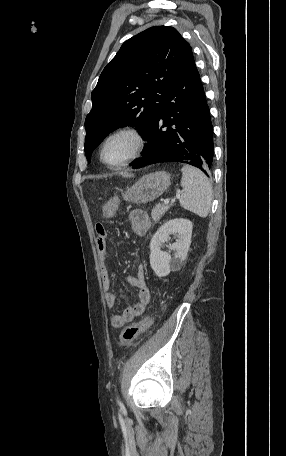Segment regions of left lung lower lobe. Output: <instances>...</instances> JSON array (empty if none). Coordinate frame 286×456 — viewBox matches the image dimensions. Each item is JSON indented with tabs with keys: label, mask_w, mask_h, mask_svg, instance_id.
<instances>
[{
	"label": "left lung lower lobe",
	"mask_w": 286,
	"mask_h": 456,
	"mask_svg": "<svg viewBox=\"0 0 286 456\" xmlns=\"http://www.w3.org/2000/svg\"><path fill=\"white\" fill-rule=\"evenodd\" d=\"M143 157L134 168L157 162H182L210 175L213 126L199 72L193 61L169 90L145 138Z\"/></svg>",
	"instance_id": "1"
}]
</instances>
